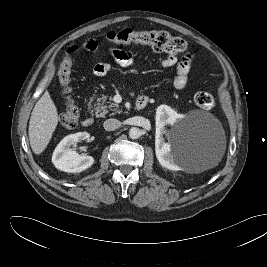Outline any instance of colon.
I'll use <instances>...</instances> for the list:
<instances>
[{"instance_id": "1", "label": "colon", "mask_w": 267, "mask_h": 267, "mask_svg": "<svg viewBox=\"0 0 267 267\" xmlns=\"http://www.w3.org/2000/svg\"><path fill=\"white\" fill-rule=\"evenodd\" d=\"M107 38L113 43L145 44L158 52H166L170 55L183 53L187 48V44L182 38L174 37L163 30L135 31L124 29L119 32H110ZM72 64L73 59L71 53H68V56L62 61L58 72L59 83L66 100L65 111L60 117V123L65 129L75 128L79 120L78 108L70 95ZM194 101L198 107L204 110L211 109L215 104L213 95L207 91L196 93Z\"/></svg>"}]
</instances>
